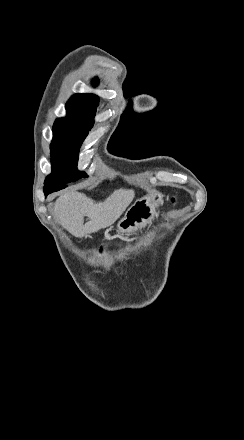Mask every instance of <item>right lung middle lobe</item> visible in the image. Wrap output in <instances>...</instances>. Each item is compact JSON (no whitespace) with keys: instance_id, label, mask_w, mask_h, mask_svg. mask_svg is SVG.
<instances>
[{"instance_id":"1","label":"right lung middle lobe","mask_w":244,"mask_h":440,"mask_svg":"<svg viewBox=\"0 0 244 440\" xmlns=\"http://www.w3.org/2000/svg\"><path fill=\"white\" fill-rule=\"evenodd\" d=\"M68 116L57 119L51 143L52 173L44 184L70 183L88 177L78 171L79 148L94 124L96 110L66 108Z\"/></svg>"}]
</instances>
